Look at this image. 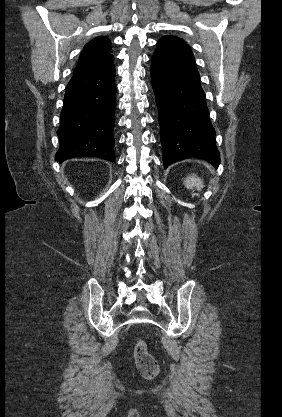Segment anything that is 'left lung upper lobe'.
Segmentation results:
<instances>
[{
  "label": "left lung upper lobe",
  "mask_w": 282,
  "mask_h": 417,
  "mask_svg": "<svg viewBox=\"0 0 282 417\" xmlns=\"http://www.w3.org/2000/svg\"><path fill=\"white\" fill-rule=\"evenodd\" d=\"M160 40L177 41V42L185 43L182 39L177 38V37H173V36H170V35L163 36Z\"/></svg>",
  "instance_id": "obj_1"
}]
</instances>
